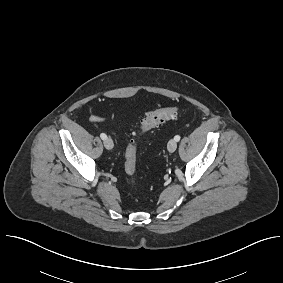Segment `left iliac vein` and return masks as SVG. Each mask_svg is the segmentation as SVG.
Instances as JSON below:
<instances>
[{"label":"left iliac vein","mask_w":283,"mask_h":283,"mask_svg":"<svg viewBox=\"0 0 283 283\" xmlns=\"http://www.w3.org/2000/svg\"><path fill=\"white\" fill-rule=\"evenodd\" d=\"M177 148V141L174 139H171L167 144V149L169 152H174Z\"/></svg>","instance_id":"obj_1"}]
</instances>
